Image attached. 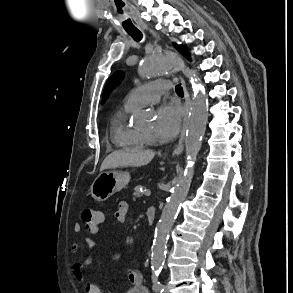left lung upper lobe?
I'll return each instance as SVG.
<instances>
[{
	"instance_id": "5c2ea615",
	"label": "left lung upper lobe",
	"mask_w": 293,
	"mask_h": 293,
	"mask_svg": "<svg viewBox=\"0 0 293 293\" xmlns=\"http://www.w3.org/2000/svg\"><path fill=\"white\" fill-rule=\"evenodd\" d=\"M175 46L178 48V50L182 54H184L187 58H190V54L188 50L183 45L175 44ZM122 79H123V73L118 71L114 73V75L108 80L104 89V93H103V100H102L103 102L105 98L108 96V94L111 92V90L114 89L120 83Z\"/></svg>"
}]
</instances>
